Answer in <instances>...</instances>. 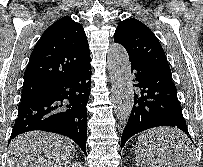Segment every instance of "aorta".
<instances>
[{
	"label": "aorta",
	"instance_id": "1",
	"mask_svg": "<svg viewBox=\"0 0 203 167\" xmlns=\"http://www.w3.org/2000/svg\"><path fill=\"white\" fill-rule=\"evenodd\" d=\"M108 70L114 97L115 112L120 122L128 120L133 104V83L127 51L120 44H112L108 49Z\"/></svg>",
	"mask_w": 203,
	"mask_h": 167
}]
</instances>
